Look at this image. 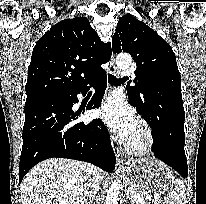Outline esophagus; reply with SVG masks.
Returning <instances> with one entry per match:
<instances>
[{"label":"esophagus","instance_id":"1","mask_svg":"<svg viewBox=\"0 0 206 204\" xmlns=\"http://www.w3.org/2000/svg\"><path fill=\"white\" fill-rule=\"evenodd\" d=\"M109 72L111 74H116L118 72L117 67L115 65V58L114 54H112L110 61H109ZM112 147L116 156V164L118 167H121L123 165V153L122 151L117 147L115 142L112 140Z\"/></svg>","mask_w":206,"mask_h":204}]
</instances>
